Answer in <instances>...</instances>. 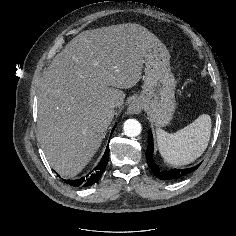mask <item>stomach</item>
I'll list each match as a JSON object with an SVG mask.
<instances>
[{"label": "stomach", "mask_w": 236, "mask_h": 236, "mask_svg": "<svg viewBox=\"0 0 236 236\" xmlns=\"http://www.w3.org/2000/svg\"><path fill=\"white\" fill-rule=\"evenodd\" d=\"M170 55L163 44L152 46L144 58L145 75L140 96L135 105H140L157 127L169 124L175 111L176 81L170 68Z\"/></svg>", "instance_id": "obj_1"}]
</instances>
